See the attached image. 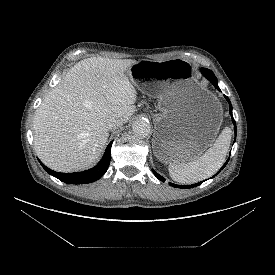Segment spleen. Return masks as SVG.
I'll use <instances>...</instances> for the list:
<instances>
[{
    "instance_id": "spleen-1",
    "label": "spleen",
    "mask_w": 275,
    "mask_h": 275,
    "mask_svg": "<svg viewBox=\"0 0 275 275\" xmlns=\"http://www.w3.org/2000/svg\"><path fill=\"white\" fill-rule=\"evenodd\" d=\"M230 141L231 129L226 127L213 146L197 159L187 163H170V177L179 183L191 184L212 176L223 165Z\"/></svg>"
}]
</instances>
